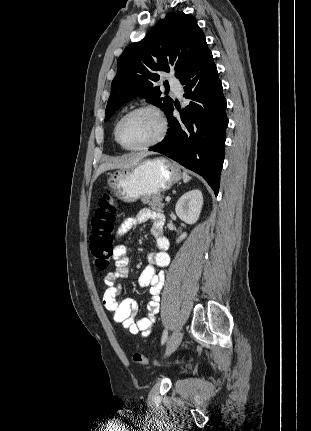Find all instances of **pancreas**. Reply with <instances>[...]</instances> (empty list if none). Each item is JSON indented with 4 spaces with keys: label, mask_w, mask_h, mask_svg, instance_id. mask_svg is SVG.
<instances>
[{
    "label": "pancreas",
    "mask_w": 311,
    "mask_h": 431,
    "mask_svg": "<svg viewBox=\"0 0 311 431\" xmlns=\"http://www.w3.org/2000/svg\"><path fill=\"white\" fill-rule=\"evenodd\" d=\"M163 198V194H156V196H146V198H141L140 202H142V204H147L150 210H154V212H163Z\"/></svg>",
    "instance_id": "pancreas-1"
}]
</instances>
